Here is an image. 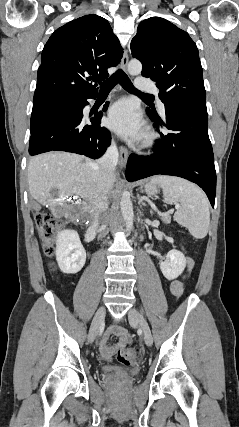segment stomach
<instances>
[{
    "instance_id": "obj_1",
    "label": "stomach",
    "mask_w": 239,
    "mask_h": 427,
    "mask_svg": "<svg viewBox=\"0 0 239 427\" xmlns=\"http://www.w3.org/2000/svg\"><path fill=\"white\" fill-rule=\"evenodd\" d=\"M140 190L149 196L155 195L159 191L157 185L151 182H147L144 185H141Z\"/></svg>"
}]
</instances>
